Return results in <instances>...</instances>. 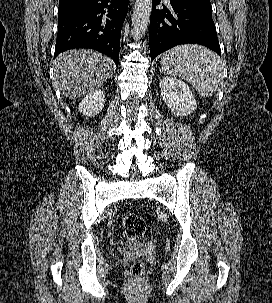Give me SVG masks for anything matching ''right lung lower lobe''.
<instances>
[{"instance_id": "1", "label": "right lung lower lobe", "mask_w": 272, "mask_h": 303, "mask_svg": "<svg viewBox=\"0 0 272 303\" xmlns=\"http://www.w3.org/2000/svg\"><path fill=\"white\" fill-rule=\"evenodd\" d=\"M128 0H88L58 11L55 56L73 48H91L119 63L121 28Z\"/></svg>"}]
</instances>
